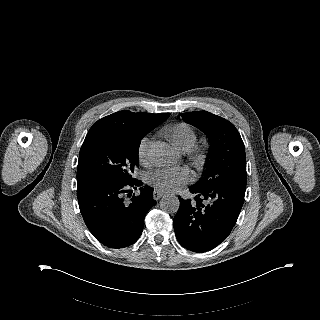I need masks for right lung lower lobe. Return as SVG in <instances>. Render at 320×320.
Instances as JSON below:
<instances>
[{
    "label": "right lung lower lobe",
    "instance_id": "1",
    "mask_svg": "<svg viewBox=\"0 0 320 320\" xmlns=\"http://www.w3.org/2000/svg\"><path fill=\"white\" fill-rule=\"evenodd\" d=\"M140 185L137 179L125 182L97 171L77 173L81 214L89 231L103 245L124 248L140 237L145 215L156 204L149 186L141 187L138 196L126 199V195L131 196V188Z\"/></svg>",
    "mask_w": 320,
    "mask_h": 320
}]
</instances>
